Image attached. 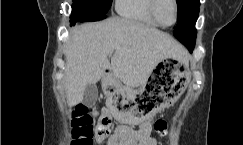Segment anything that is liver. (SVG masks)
I'll return each instance as SVG.
<instances>
[{"label": "liver", "mask_w": 243, "mask_h": 145, "mask_svg": "<svg viewBox=\"0 0 243 145\" xmlns=\"http://www.w3.org/2000/svg\"><path fill=\"white\" fill-rule=\"evenodd\" d=\"M70 36L65 79L71 106L83 100L86 86L100 81L108 68L115 79L136 88L146 83L163 59H187L185 49L169 34L120 17L76 26Z\"/></svg>", "instance_id": "1"}]
</instances>
